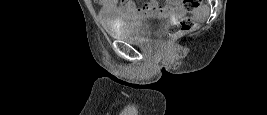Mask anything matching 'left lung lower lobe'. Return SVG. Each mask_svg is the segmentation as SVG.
<instances>
[{
  "mask_svg": "<svg viewBox=\"0 0 267 115\" xmlns=\"http://www.w3.org/2000/svg\"><path fill=\"white\" fill-rule=\"evenodd\" d=\"M152 87H158V86H152ZM140 88H147V87H140Z\"/></svg>",
  "mask_w": 267,
  "mask_h": 115,
  "instance_id": "obj_1",
  "label": "left lung lower lobe"
}]
</instances>
